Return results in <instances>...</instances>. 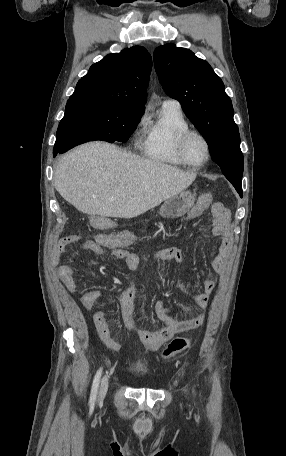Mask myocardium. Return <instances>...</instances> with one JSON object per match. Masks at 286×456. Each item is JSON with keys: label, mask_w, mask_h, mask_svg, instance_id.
<instances>
[{"label": "myocardium", "mask_w": 286, "mask_h": 456, "mask_svg": "<svg viewBox=\"0 0 286 456\" xmlns=\"http://www.w3.org/2000/svg\"><path fill=\"white\" fill-rule=\"evenodd\" d=\"M191 136H198L199 138L202 139V141L204 142L205 144V147H206V159L201 163V164H193L191 163L186 154H185V144H186V141L188 140L189 137ZM175 151L177 153V155L179 156V158L185 163V165L191 167V168H195V169H199V168H202L204 167L210 160L211 158V146H210V143L207 139V137L201 133L200 131L198 130H194V129H187V130H184L182 131L181 133H179L175 139Z\"/></svg>", "instance_id": "myocardium-1"}]
</instances>
